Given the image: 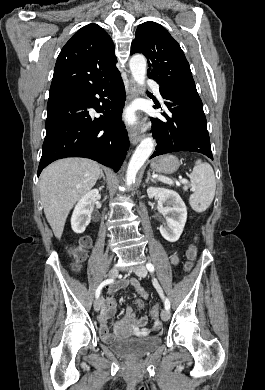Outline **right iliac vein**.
Segmentation results:
<instances>
[{"label": "right iliac vein", "instance_id": "obj_1", "mask_svg": "<svg viewBox=\"0 0 265 390\" xmlns=\"http://www.w3.org/2000/svg\"><path fill=\"white\" fill-rule=\"evenodd\" d=\"M117 275H118V268L114 267V268H112L109 271L108 278H115ZM100 307H101V299L98 297L94 301V309H95V311L98 312L100 310Z\"/></svg>", "mask_w": 265, "mask_h": 390}]
</instances>
